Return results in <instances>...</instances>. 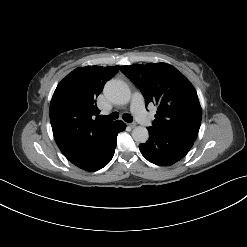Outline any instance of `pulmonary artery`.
Wrapping results in <instances>:
<instances>
[{"label": "pulmonary artery", "instance_id": "pulmonary-artery-1", "mask_svg": "<svg viewBox=\"0 0 247 247\" xmlns=\"http://www.w3.org/2000/svg\"><path fill=\"white\" fill-rule=\"evenodd\" d=\"M131 111L140 124L145 127L152 125V117L146 112L144 98L139 92L134 93L132 96Z\"/></svg>", "mask_w": 247, "mask_h": 247}]
</instances>
